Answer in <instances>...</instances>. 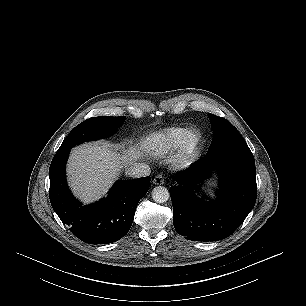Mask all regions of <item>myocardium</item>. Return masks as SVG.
<instances>
[{
    "label": "myocardium",
    "instance_id": "f54148a6",
    "mask_svg": "<svg viewBox=\"0 0 306 306\" xmlns=\"http://www.w3.org/2000/svg\"><path fill=\"white\" fill-rule=\"evenodd\" d=\"M193 137V139H192ZM204 144L203 135L196 128L185 130L178 144V152L183 162L194 160L201 152Z\"/></svg>",
    "mask_w": 306,
    "mask_h": 306
}]
</instances>
